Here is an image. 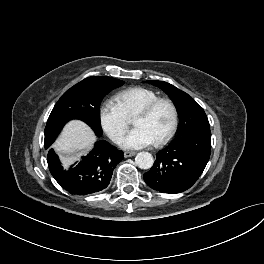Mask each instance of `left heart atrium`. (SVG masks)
Segmentation results:
<instances>
[{
	"mask_svg": "<svg viewBox=\"0 0 264 264\" xmlns=\"http://www.w3.org/2000/svg\"><path fill=\"white\" fill-rule=\"evenodd\" d=\"M155 141L151 135L142 127L132 129L121 141L124 148L138 149L149 146Z\"/></svg>",
	"mask_w": 264,
	"mask_h": 264,
	"instance_id": "left-heart-atrium-1",
	"label": "left heart atrium"
}]
</instances>
